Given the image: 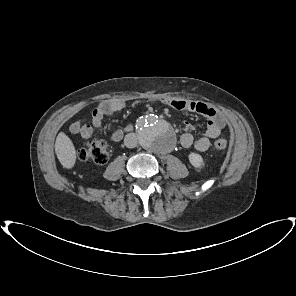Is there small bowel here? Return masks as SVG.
<instances>
[{"label": "small bowel", "instance_id": "c3829d8e", "mask_svg": "<svg viewBox=\"0 0 296 296\" xmlns=\"http://www.w3.org/2000/svg\"><path fill=\"white\" fill-rule=\"evenodd\" d=\"M161 101L174 109L196 112L207 119L205 133L197 139L189 132L192 128L191 124H185L186 132L180 137V144L185 148L194 147L200 152L208 150L211 140L217 138L222 129L227 125L225 116L209 104L169 97H163ZM125 107L126 102L122 100L104 101L93 109L91 124H83L80 121L73 122L70 125V132L80 135L84 139H89L94 135V128L101 126L105 116L111 115ZM123 136L124 130L116 128L111 133V140L119 142Z\"/></svg>", "mask_w": 296, "mask_h": 296}]
</instances>
